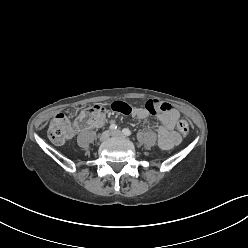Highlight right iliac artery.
Returning a JSON list of instances; mask_svg holds the SVG:
<instances>
[{
  "mask_svg": "<svg viewBox=\"0 0 248 248\" xmlns=\"http://www.w3.org/2000/svg\"><path fill=\"white\" fill-rule=\"evenodd\" d=\"M116 128H117V125H116V124H111V125H110V129H111V130H115Z\"/></svg>",
  "mask_w": 248,
  "mask_h": 248,
  "instance_id": "82829eb1",
  "label": "right iliac artery"
}]
</instances>
